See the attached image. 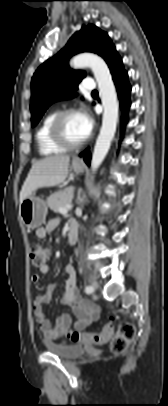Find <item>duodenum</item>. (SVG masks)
Listing matches in <instances>:
<instances>
[{
	"mask_svg": "<svg viewBox=\"0 0 168 406\" xmlns=\"http://www.w3.org/2000/svg\"><path fill=\"white\" fill-rule=\"evenodd\" d=\"M79 237V228L78 224L75 221H70L69 223V230L67 233V242L70 245H74L77 243Z\"/></svg>",
	"mask_w": 168,
	"mask_h": 406,
	"instance_id": "1",
	"label": "duodenum"
}]
</instances>
